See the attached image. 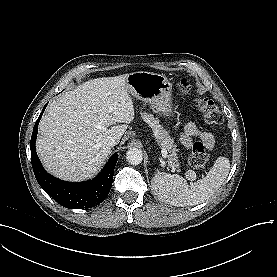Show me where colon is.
Listing matches in <instances>:
<instances>
[{"mask_svg":"<svg viewBox=\"0 0 277 277\" xmlns=\"http://www.w3.org/2000/svg\"><path fill=\"white\" fill-rule=\"evenodd\" d=\"M179 88L184 95L190 94V87L186 80L181 82ZM195 105L205 122L210 124H219L222 122L223 116L212 100L208 98H197L195 99ZM208 161L209 155L205 147L200 142H197L189 155V166L195 172H200L204 169Z\"/></svg>","mask_w":277,"mask_h":277,"instance_id":"colon-1","label":"colon"}]
</instances>
